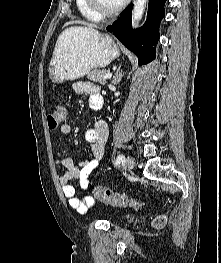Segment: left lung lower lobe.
I'll return each mask as SVG.
<instances>
[{"instance_id": "0a47b994", "label": "left lung lower lobe", "mask_w": 221, "mask_h": 263, "mask_svg": "<svg viewBox=\"0 0 221 263\" xmlns=\"http://www.w3.org/2000/svg\"><path fill=\"white\" fill-rule=\"evenodd\" d=\"M165 2L166 0H149L147 20L137 30L131 29L132 4L121 13L117 21L107 27L125 47L136 54L140 65L155 59V48L152 46L159 40V25L164 17Z\"/></svg>"}]
</instances>
